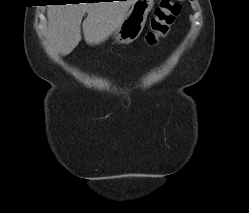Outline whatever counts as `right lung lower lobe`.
Here are the masks:
<instances>
[{
    "label": "right lung lower lobe",
    "mask_w": 249,
    "mask_h": 213,
    "mask_svg": "<svg viewBox=\"0 0 249 213\" xmlns=\"http://www.w3.org/2000/svg\"><path fill=\"white\" fill-rule=\"evenodd\" d=\"M91 1H95V0H91ZM58 2V1H57ZM59 3H65V2H61V1H59ZM93 3V2H92Z\"/></svg>",
    "instance_id": "right-lung-lower-lobe-1"
}]
</instances>
